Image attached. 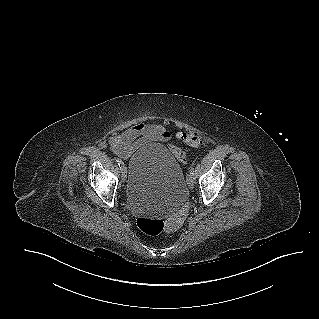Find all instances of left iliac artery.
<instances>
[{
	"label": "left iliac artery",
	"mask_w": 319,
	"mask_h": 319,
	"mask_svg": "<svg viewBox=\"0 0 319 319\" xmlns=\"http://www.w3.org/2000/svg\"><path fill=\"white\" fill-rule=\"evenodd\" d=\"M190 176H191L193 179H195V175H194V171H193L192 167H191V169H190Z\"/></svg>",
	"instance_id": "left-iliac-artery-1"
}]
</instances>
